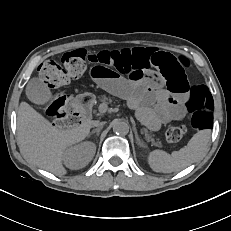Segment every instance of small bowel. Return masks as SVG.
I'll return each instance as SVG.
<instances>
[{"label":"small bowel","instance_id":"c3829d8e","mask_svg":"<svg viewBox=\"0 0 231 231\" xmlns=\"http://www.w3.org/2000/svg\"><path fill=\"white\" fill-rule=\"evenodd\" d=\"M90 74L101 89L126 99L139 117L152 128L185 116L183 98L171 96L162 87L160 75L156 72L150 71L143 78H125L114 69L95 65Z\"/></svg>","mask_w":231,"mask_h":231}]
</instances>
